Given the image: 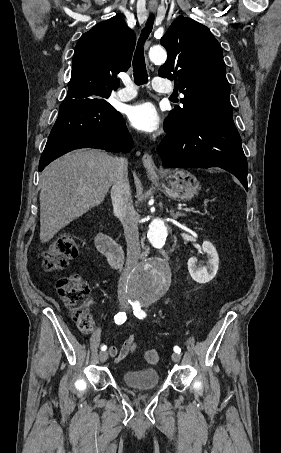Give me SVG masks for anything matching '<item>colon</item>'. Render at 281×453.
Masks as SVG:
<instances>
[{"label": "colon", "mask_w": 281, "mask_h": 453, "mask_svg": "<svg viewBox=\"0 0 281 453\" xmlns=\"http://www.w3.org/2000/svg\"><path fill=\"white\" fill-rule=\"evenodd\" d=\"M83 255V248L72 238H56L51 240L45 247L44 267L48 271H66L68 261ZM61 296L67 305L78 315L79 328L89 330L91 318L85 305V298L89 292L87 282L78 277L63 276L57 281ZM143 359L147 363H160V353L155 349H144Z\"/></svg>", "instance_id": "1"}]
</instances>
